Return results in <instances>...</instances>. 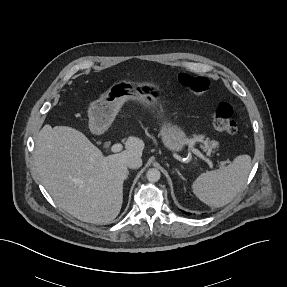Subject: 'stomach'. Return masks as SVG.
<instances>
[{"label":"stomach","instance_id":"1","mask_svg":"<svg viewBox=\"0 0 287 287\" xmlns=\"http://www.w3.org/2000/svg\"><path fill=\"white\" fill-rule=\"evenodd\" d=\"M160 89L155 83L122 80L114 83L88 110L89 126L93 132L100 133L109 128L126 101H136L147 108L160 103ZM158 117H162L159 113ZM163 144L171 151H180L187 144L185 131L171 122L163 120L160 124Z\"/></svg>","mask_w":287,"mask_h":287}]
</instances>
